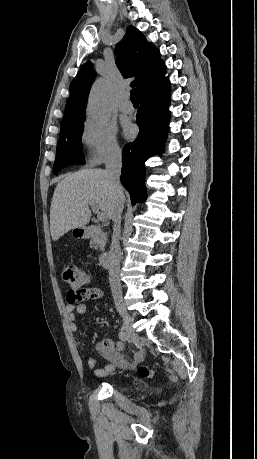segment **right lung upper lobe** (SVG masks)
<instances>
[{
  "label": "right lung upper lobe",
  "instance_id": "obj_1",
  "mask_svg": "<svg viewBox=\"0 0 257 459\" xmlns=\"http://www.w3.org/2000/svg\"><path fill=\"white\" fill-rule=\"evenodd\" d=\"M115 54L122 75L136 77L131 86L137 87L139 94L165 74L166 66L160 59L159 50L133 26L127 28V33L116 45ZM95 76L92 62L82 65L65 106L60 134L85 121L84 108Z\"/></svg>",
  "mask_w": 257,
  "mask_h": 459
}]
</instances>
